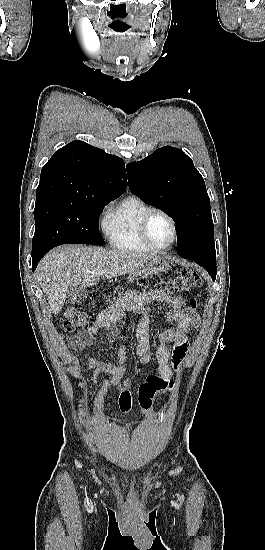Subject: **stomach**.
Returning a JSON list of instances; mask_svg holds the SVG:
<instances>
[{
  "instance_id": "stomach-1",
  "label": "stomach",
  "mask_w": 265,
  "mask_h": 550,
  "mask_svg": "<svg viewBox=\"0 0 265 550\" xmlns=\"http://www.w3.org/2000/svg\"><path fill=\"white\" fill-rule=\"evenodd\" d=\"M170 263L162 255H152L132 275L135 277L146 278L153 274L167 272L170 269Z\"/></svg>"
}]
</instances>
